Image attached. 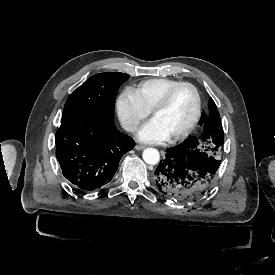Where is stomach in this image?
<instances>
[{
  "mask_svg": "<svg viewBox=\"0 0 275 275\" xmlns=\"http://www.w3.org/2000/svg\"><path fill=\"white\" fill-rule=\"evenodd\" d=\"M201 146L196 141H191L181 151L179 165L184 170L191 169L199 159Z\"/></svg>",
  "mask_w": 275,
  "mask_h": 275,
  "instance_id": "0dacf381",
  "label": "stomach"
}]
</instances>
